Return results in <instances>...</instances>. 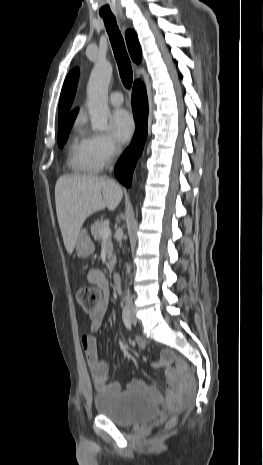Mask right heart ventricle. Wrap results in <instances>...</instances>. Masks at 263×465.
I'll return each mask as SVG.
<instances>
[{"label": "right heart ventricle", "mask_w": 263, "mask_h": 465, "mask_svg": "<svg viewBox=\"0 0 263 465\" xmlns=\"http://www.w3.org/2000/svg\"><path fill=\"white\" fill-rule=\"evenodd\" d=\"M68 163L78 172L91 173L100 169L91 154L90 136L84 132L80 124H76L71 136Z\"/></svg>", "instance_id": "1"}]
</instances>
